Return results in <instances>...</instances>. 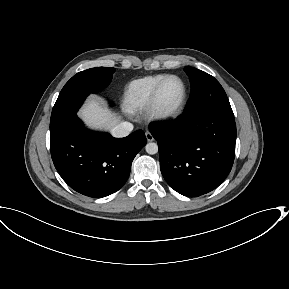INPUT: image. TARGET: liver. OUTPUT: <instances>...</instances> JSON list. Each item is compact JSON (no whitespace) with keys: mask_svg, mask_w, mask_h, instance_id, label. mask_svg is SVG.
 Masks as SVG:
<instances>
[{"mask_svg":"<svg viewBox=\"0 0 289 289\" xmlns=\"http://www.w3.org/2000/svg\"><path fill=\"white\" fill-rule=\"evenodd\" d=\"M81 118L93 129H111L118 123L120 117L111 113L102 103L91 98L80 111Z\"/></svg>","mask_w":289,"mask_h":289,"instance_id":"1","label":"liver"}]
</instances>
